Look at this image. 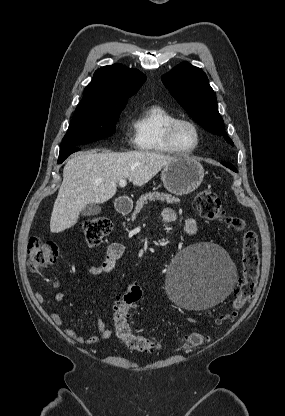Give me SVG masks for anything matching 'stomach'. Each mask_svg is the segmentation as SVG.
I'll return each mask as SVG.
<instances>
[{
	"mask_svg": "<svg viewBox=\"0 0 285 416\" xmlns=\"http://www.w3.org/2000/svg\"><path fill=\"white\" fill-rule=\"evenodd\" d=\"M203 178V166L188 156H182V158H176L173 162H169L167 166H164L161 174V180L166 190L175 196H184V194L195 192L203 182Z\"/></svg>",
	"mask_w": 285,
	"mask_h": 416,
	"instance_id": "0dacf381",
	"label": "stomach"
}]
</instances>
